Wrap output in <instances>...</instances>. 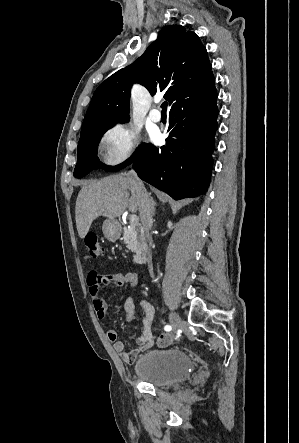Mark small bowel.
<instances>
[{"instance_id":"obj_1","label":"small bowel","mask_w":299,"mask_h":443,"mask_svg":"<svg viewBox=\"0 0 299 443\" xmlns=\"http://www.w3.org/2000/svg\"><path fill=\"white\" fill-rule=\"evenodd\" d=\"M89 293L92 298V303L96 315L99 319H104L107 315V303L101 294L102 286H121L129 284L137 286L139 284V277L137 274H98L91 271L87 278ZM136 303L142 308L144 318L142 320L143 330L137 340L138 347L131 351L125 350L124 342L118 339V334L114 329H109L106 333L108 340L113 344L114 350L120 354L121 359L126 364H133L137 356L144 350L153 346L167 347L173 343L174 337L169 333H164L157 336L152 331V324L154 319V308L145 299L141 297L129 296L124 302V310L126 313V322L130 323L135 316Z\"/></svg>"}]
</instances>
